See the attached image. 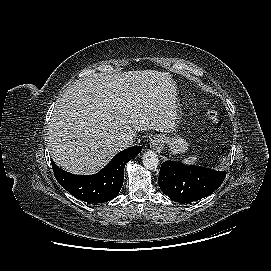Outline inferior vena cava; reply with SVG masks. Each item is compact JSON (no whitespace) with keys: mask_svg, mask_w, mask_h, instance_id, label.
Segmentation results:
<instances>
[{"mask_svg":"<svg viewBox=\"0 0 271 271\" xmlns=\"http://www.w3.org/2000/svg\"><path fill=\"white\" fill-rule=\"evenodd\" d=\"M133 142H134V137L131 134L124 133L119 137L117 141V145L123 149V148H127L131 146Z\"/></svg>","mask_w":271,"mask_h":271,"instance_id":"1","label":"inferior vena cava"}]
</instances>
